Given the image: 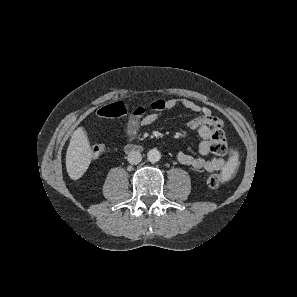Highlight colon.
Masks as SVG:
<instances>
[{
    "mask_svg": "<svg viewBox=\"0 0 297 297\" xmlns=\"http://www.w3.org/2000/svg\"><path fill=\"white\" fill-rule=\"evenodd\" d=\"M145 110L142 105L134 107L130 110L126 103L119 101L116 103L109 104L99 109L98 114L106 118H118L124 115H132L141 113ZM211 152L217 156H223L228 151L227 140L222 129V124L217 123L213 127ZM104 151V147L101 144H96L91 149V156L93 159L98 158ZM207 184L210 188L216 189L221 184V178L218 174H212L207 178Z\"/></svg>",
    "mask_w": 297,
    "mask_h": 297,
    "instance_id": "colon-1",
    "label": "colon"
}]
</instances>
